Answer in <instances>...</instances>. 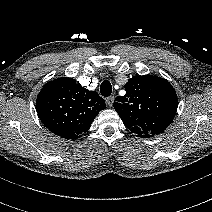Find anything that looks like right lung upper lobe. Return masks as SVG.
Masks as SVG:
<instances>
[{
  "label": "right lung upper lobe",
  "mask_w": 212,
  "mask_h": 212,
  "mask_svg": "<svg viewBox=\"0 0 212 212\" xmlns=\"http://www.w3.org/2000/svg\"><path fill=\"white\" fill-rule=\"evenodd\" d=\"M105 107V101L97 92L66 77L48 82L36 101L38 116L45 127L67 140L82 137Z\"/></svg>",
  "instance_id": "cb5924a9"
}]
</instances>
